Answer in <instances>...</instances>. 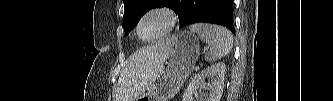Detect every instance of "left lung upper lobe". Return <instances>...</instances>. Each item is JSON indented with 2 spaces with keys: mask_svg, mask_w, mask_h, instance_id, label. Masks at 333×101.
I'll list each match as a JSON object with an SVG mask.
<instances>
[{
  "mask_svg": "<svg viewBox=\"0 0 333 101\" xmlns=\"http://www.w3.org/2000/svg\"><path fill=\"white\" fill-rule=\"evenodd\" d=\"M123 2V25L125 34H129L141 17L153 7L166 5L176 12L178 18L182 13L179 0H123Z\"/></svg>",
  "mask_w": 333,
  "mask_h": 101,
  "instance_id": "1",
  "label": "left lung upper lobe"
}]
</instances>
